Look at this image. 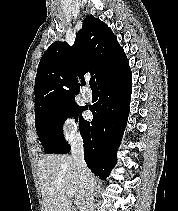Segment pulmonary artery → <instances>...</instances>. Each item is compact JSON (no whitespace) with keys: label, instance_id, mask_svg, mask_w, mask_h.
<instances>
[{"label":"pulmonary artery","instance_id":"1","mask_svg":"<svg viewBox=\"0 0 178 211\" xmlns=\"http://www.w3.org/2000/svg\"><path fill=\"white\" fill-rule=\"evenodd\" d=\"M83 97L86 101H90L92 99V91L89 87H85L83 90Z\"/></svg>","mask_w":178,"mask_h":211}]
</instances>
